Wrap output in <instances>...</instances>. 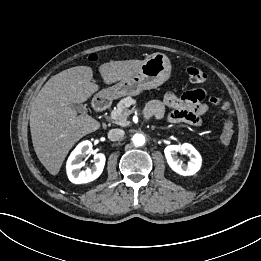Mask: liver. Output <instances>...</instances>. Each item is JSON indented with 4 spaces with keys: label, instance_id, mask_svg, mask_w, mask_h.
<instances>
[{
    "label": "liver",
    "instance_id": "6515ba94",
    "mask_svg": "<svg viewBox=\"0 0 261 261\" xmlns=\"http://www.w3.org/2000/svg\"><path fill=\"white\" fill-rule=\"evenodd\" d=\"M144 60L111 61L100 65L104 83L111 84L132 76ZM93 71L88 66L66 69L52 78L39 91L31 104L30 131L36 155L52 175H57L65 157L82 137L100 128V123L87 114L77 116L71 103L88 100L99 87L91 82Z\"/></svg>",
    "mask_w": 261,
    "mask_h": 261
}]
</instances>
